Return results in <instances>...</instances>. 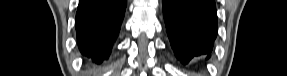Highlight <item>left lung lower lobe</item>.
Listing matches in <instances>:
<instances>
[{
    "mask_svg": "<svg viewBox=\"0 0 287 76\" xmlns=\"http://www.w3.org/2000/svg\"><path fill=\"white\" fill-rule=\"evenodd\" d=\"M167 34L184 65H199L210 57L217 36L214 0H163Z\"/></svg>",
    "mask_w": 287,
    "mask_h": 76,
    "instance_id": "0a47b994",
    "label": "left lung lower lobe"
}]
</instances>
